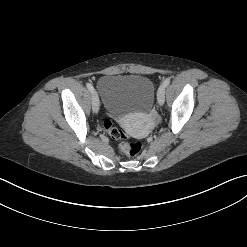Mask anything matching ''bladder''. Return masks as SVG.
Here are the masks:
<instances>
[{
    "instance_id": "obj_1",
    "label": "bladder",
    "mask_w": 247,
    "mask_h": 247,
    "mask_svg": "<svg viewBox=\"0 0 247 247\" xmlns=\"http://www.w3.org/2000/svg\"><path fill=\"white\" fill-rule=\"evenodd\" d=\"M97 95L108 114L120 120L130 112H147L154 98L153 82L140 75H107L97 83Z\"/></svg>"
}]
</instances>
